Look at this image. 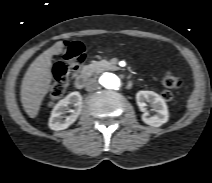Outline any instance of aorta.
<instances>
[{"label": "aorta", "mask_w": 212, "mask_h": 183, "mask_svg": "<svg viewBox=\"0 0 212 183\" xmlns=\"http://www.w3.org/2000/svg\"><path fill=\"white\" fill-rule=\"evenodd\" d=\"M99 81L102 87H104L105 89L109 91L119 90L122 86L121 79L113 73L103 74L100 77Z\"/></svg>", "instance_id": "obj_1"}]
</instances>
